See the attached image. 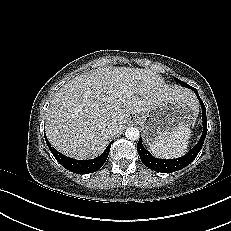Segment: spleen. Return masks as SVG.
Listing matches in <instances>:
<instances>
[{"mask_svg": "<svg viewBox=\"0 0 231 231\" xmlns=\"http://www.w3.org/2000/svg\"><path fill=\"white\" fill-rule=\"evenodd\" d=\"M191 130L188 126H181L170 136L149 145V149L159 158H178L188 149Z\"/></svg>", "mask_w": 231, "mask_h": 231, "instance_id": "3e777b00", "label": "spleen"}]
</instances>
